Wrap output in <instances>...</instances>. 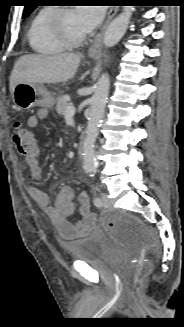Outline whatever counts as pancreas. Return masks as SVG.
Segmentation results:
<instances>
[{"label":"pancreas","mask_w":184,"mask_h":327,"mask_svg":"<svg viewBox=\"0 0 184 327\" xmlns=\"http://www.w3.org/2000/svg\"><path fill=\"white\" fill-rule=\"evenodd\" d=\"M71 105L70 98L67 95H61L57 98L56 111L58 115L64 116L66 108Z\"/></svg>","instance_id":"cf45deb5"}]
</instances>
